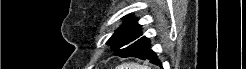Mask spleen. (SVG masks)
Segmentation results:
<instances>
[{
	"instance_id": "obj_1",
	"label": "spleen",
	"mask_w": 246,
	"mask_h": 69,
	"mask_svg": "<svg viewBox=\"0 0 246 69\" xmlns=\"http://www.w3.org/2000/svg\"><path fill=\"white\" fill-rule=\"evenodd\" d=\"M116 69H149L144 65H139L138 63H124L119 65Z\"/></svg>"
}]
</instances>
